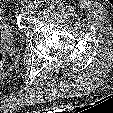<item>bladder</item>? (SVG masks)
<instances>
[{"instance_id":"obj_1","label":"bladder","mask_w":113,"mask_h":113,"mask_svg":"<svg viewBox=\"0 0 113 113\" xmlns=\"http://www.w3.org/2000/svg\"><path fill=\"white\" fill-rule=\"evenodd\" d=\"M13 42L12 30L7 22L5 11L0 5V45L6 46Z\"/></svg>"}]
</instances>
